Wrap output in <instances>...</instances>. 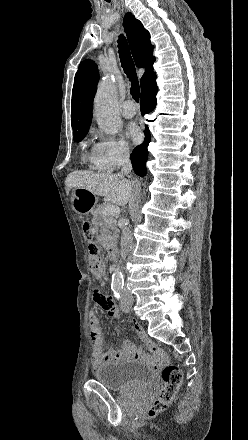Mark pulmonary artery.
I'll list each match as a JSON object with an SVG mask.
<instances>
[{
    "instance_id": "1",
    "label": "pulmonary artery",
    "mask_w": 248,
    "mask_h": 440,
    "mask_svg": "<svg viewBox=\"0 0 248 440\" xmlns=\"http://www.w3.org/2000/svg\"><path fill=\"white\" fill-rule=\"evenodd\" d=\"M136 105L131 100H127L123 103L122 106V114L127 117L131 118L136 114Z\"/></svg>"
}]
</instances>
